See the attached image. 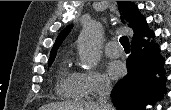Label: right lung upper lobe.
<instances>
[{
  "label": "right lung upper lobe",
  "instance_id": "obj_1",
  "mask_svg": "<svg viewBox=\"0 0 171 110\" xmlns=\"http://www.w3.org/2000/svg\"><path fill=\"white\" fill-rule=\"evenodd\" d=\"M117 3L119 10L121 11L122 21L134 30V35L132 37L133 41L141 39L142 36L148 35L150 32H152L148 28L146 20L139 13L138 8L132 2L117 1ZM71 28L72 25L66 27L60 32L50 52V57L56 56L57 49L59 48L65 37L69 34Z\"/></svg>",
  "mask_w": 171,
  "mask_h": 110
}]
</instances>
